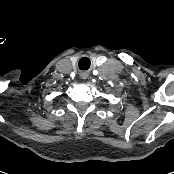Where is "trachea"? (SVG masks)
Wrapping results in <instances>:
<instances>
[{
	"mask_svg": "<svg viewBox=\"0 0 174 174\" xmlns=\"http://www.w3.org/2000/svg\"><path fill=\"white\" fill-rule=\"evenodd\" d=\"M86 66V65H90V60L88 59V58H86V57H83V58H81L80 59V61H79V67H80V69H82V66Z\"/></svg>",
	"mask_w": 174,
	"mask_h": 174,
	"instance_id": "obj_1",
	"label": "trachea"
}]
</instances>
